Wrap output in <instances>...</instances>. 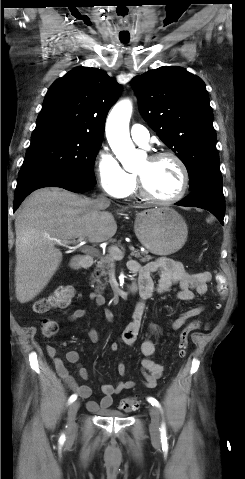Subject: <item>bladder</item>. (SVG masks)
<instances>
[{
    "instance_id": "1",
    "label": "bladder",
    "mask_w": 245,
    "mask_h": 479,
    "mask_svg": "<svg viewBox=\"0 0 245 479\" xmlns=\"http://www.w3.org/2000/svg\"><path fill=\"white\" fill-rule=\"evenodd\" d=\"M102 417H115V418H124L125 417V414L120 412V411H116V410H106V411H102Z\"/></svg>"
}]
</instances>
